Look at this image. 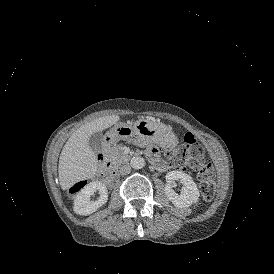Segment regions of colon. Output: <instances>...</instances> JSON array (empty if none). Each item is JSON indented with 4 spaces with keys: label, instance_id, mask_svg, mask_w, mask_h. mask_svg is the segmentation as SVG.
Returning <instances> with one entry per match:
<instances>
[{
    "label": "colon",
    "instance_id": "colon-1",
    "mask_svg": "<svg viewBox=\"0 0 274 274\" xmlns=\"http://www.w3.org/2000/svg\"><path fill=\"white\" fill-rule=\"evenodd\" d=\"M204 147L197 140L191 143H184L176 149L166 152L175 168L184 166L195 168L200 181L201 195L205 200H211L215 195V175L213 167L204 160ZM89 183L83 180H71L68 192L75 194L79 189H88Z\"/></svg>",
    "mask_w": 274,
    "mask_h": 274
}]
</instances>
